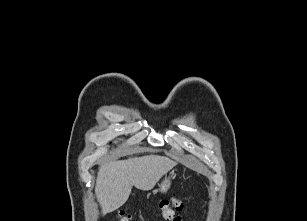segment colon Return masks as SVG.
Masks as SVG:
<instances>
[{"label":"colon","mask_w":307,"mask_h":221,"mask_svg":"<svg viewBox=\"0 0 307 221\" xmlns=\"http://www.w3.org/2000/svg\"><path fill=\"white\" fill-rule=\"evenodd\" d=\"M159 208L161 210V216L165 219H170L175 215L176 211L183 208V201L178 198H172L170 200H162L159 203ZM132 215L127 210H121L115 221H131Z\"/></svg>","instance_id":"colon-1"}]
</instances>
